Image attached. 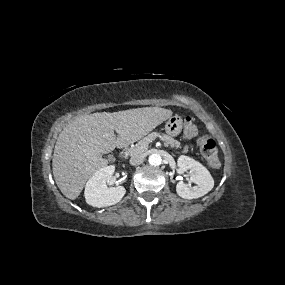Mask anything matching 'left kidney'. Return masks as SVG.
Listing matches in <instances>:
<instances>
[{
    "label": "left kidney",
    "instance_id": "obj_1",
    "mask_svg": "<svg viewBox=\"0 0 285 285\" xmlns=\"http://www.w3.org/2000/svg\"><path fill=\"white\" fill-rule=\"evenodd\" d=\"M178 166L182 171L190 170V182L196 186L179 182L176 185L177 194L184 199H195L204 196L212 190L214 180L210 172L201 163L188 156L178 158Z\"/></svg>",
    "mask_w": 285,
    "mask_h": 285
}]
</instances>
